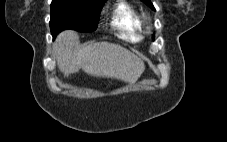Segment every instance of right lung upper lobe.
Instances as JSON below:
<instances>
[{
	"mask_svg": "<svg viewBox=\"0 0 227 142\" xmlns=\"http://www.w3.org/2000/svg\"><path fill=\"white\" fill-rule=\"evenodd\" d=\"M90 1H95V2H105V0H90Z\"/></svg>",
	"mask_w": 227,
	"mask_h": 142,
	"instance_id": "obj_1",
	"label": "right lung upper lobe"
}]
</instances>
